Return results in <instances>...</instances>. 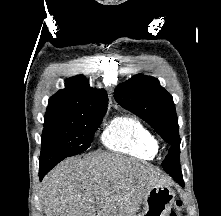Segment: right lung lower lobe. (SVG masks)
Instances as JSON below:
<instances>
[{
    "label": "right lung lower lobe",
    "instance_id": "98d812e1",
    "mask_svg": "<svg viewBox=\"0 0 221 216\" xmlns=\"http://www.w3.org/2000/svg\"><path fill=\"white\" fill-rule=\"evenodd\" d=\"M53 167L51 166H40L39 168V177H40V180L44 177V175L49 171L51 170Z\"/></svg>",
    "mask_w": 221,
    "mask_h": 216
}]
</instances>
